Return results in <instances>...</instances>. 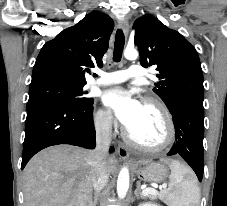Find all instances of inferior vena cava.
<instances>
[{
    "label": "inferior vena cava",
    "instance_id": "inferior-vena-cava-1",
    "mask_svg": "<svg viewBox=\"0 0 227 206\" xmlns=\"http://www.w3.org/2000/svg\"><path fill=\"white\" fill-rule=\"evenodd\" d=\"M112 137V115L107 114L96 126V149L93 151L91 166L94 172L93 187L99 193L108 182L107 153Z\"/></svg>",
    "mask_w": 227,
    "mask_h": 206
}]
</instances>
